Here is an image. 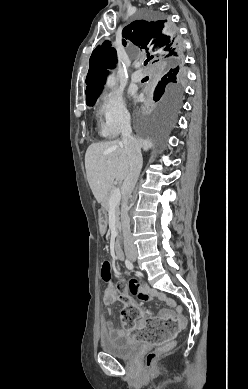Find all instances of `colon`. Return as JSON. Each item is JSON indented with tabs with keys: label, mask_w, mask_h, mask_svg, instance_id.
I'll list each match as a JSON object with an SVG mask.
<instances>
[{
	"label": "colon",
	"mask_w": 248,
	"mask_h": 389,
	"mask_svg": "<svg viewBox=\"0 0 248 389\" xmlns=\"http://www.w3.org/2000/svg\"><path fill=\"white\" fill-rule=\"evenodd\" d=\"M110 274L111 264L109 261H104L102 264V276L106 282L110 281ZM119 275L122 276L123 274L119 273ZM123 278L127 279L128 275L124 274ZM138 283L135 282V285H138ZM120 294L127 296L129 292L127 289H122ZM122 296L119 297V292L116 288L108 287L104 291V302L111 303L118 298L125 301L126 304L121 311L120 318L123 329L132 331V333L128 334L129 340H138L140 338L141 344H161L156 350L148 353L146 356L147 368L149 370H155L158 358L167 354L175 347V342L172 338H169L168 342L163 343L164 339L171 337L173 333L180 330L183 323L175 317L161 318L160 316H154L153 318H149L144 326H136V321L141 320L138 312L139 307L129 303L132 301L131 297H128L126 300Z\"/></svg>",
	"instance_id": "obj_1"
}]
</instances>
